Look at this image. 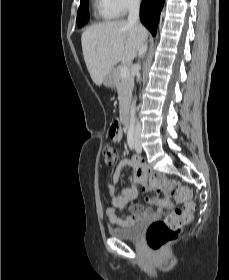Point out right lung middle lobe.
Here are the masks:
<instances>
[{"label": "right lung middle lobe", "instance_id": "obj_1", "mask_svg": "<svg viewBox=\"0 0 229 280\" xmlns=\"http://www.w3.org/2000/svg\"><path fill=\"white\" fill-rule=\"evenodd\" d=\"M88 1L89 0H80V7L77 13L78 27H82L84 24L87 23L89 19Z\"/></svg>", "mask_w": 229, "mask_h": 280}]
</instances>
